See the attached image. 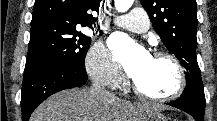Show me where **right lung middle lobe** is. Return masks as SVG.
<instances>
[{"label": "right lung middle lobe", "instance_id": "dd1d6c3e", "mask_svg": "<svg viewBox=\"0 0 217 121\" xmlns=\"http://www.w3.org/2000/svg\"><path fill=\"white\" fill-rule=\"evenodd\" d=\"M90 38L76 25L45 21L31 25L25 70L42 65L62 64L85 71Z\"/></svg>", "mask_w": 217, "mask_h": 121}]
</instances>
